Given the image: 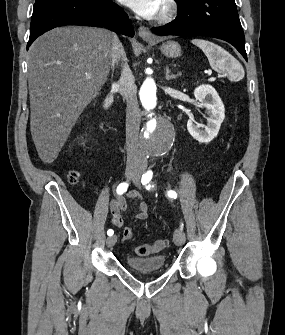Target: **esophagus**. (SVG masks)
<instances>
[{"mask_svg": "<svg viewBox=\"0 0 285 335\" xmlns=\"http://www.w3.org/2000/svg\"><path fill=\"white\" fill-rule=\"evenodd\" d=\"M138 34L140 37H142L143 39H146L147 41L155 39V37L152 35L149 28L144 27L143 25L139 27Z\"/></svg>", "mask_w": 285, "mask_h": 335, "instance_id": "1", "label": "esophagus"}]
</instances>
